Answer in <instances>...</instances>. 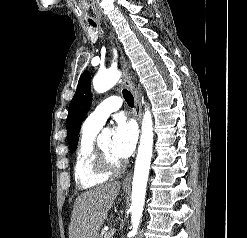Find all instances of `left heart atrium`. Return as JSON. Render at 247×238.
Masks as SVG:
<instances>
[{
	"mask_svg": "<svg viewBox=\"0 0 247 238\" xmlns=\"http://www.w3.org/2000/svg\"><path fill=\"white\" fill-rule=\"evenodd\" d=\"M137 128L132 121L118 118L113 130L112 152L120 160L128 158L135 149Z\"/></svg>",
	"mask_w": 247,
	"mask_h": 238,
	"instance_id": "obj_1",
	"label": "left heart atrium"
}]
</instances>
